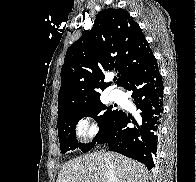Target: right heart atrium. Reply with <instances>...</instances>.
<instances>
[{
    "instance_id": "obj_1",
    "label": "right heart atrium",
    "mask_w": 196,
    "mask_h": 182,
    "mask_svg": "<svg viewBox=\"0 0 196 182\" xmlns=\"http://www.w3.org/2000/svg\"><path fill=\"white\" fill-rule=\"evenodd\" d=\"M77 132L80 136H93L96 132V127L87 118H83L77 125Z\"/></svg>"
}]
</instances>
